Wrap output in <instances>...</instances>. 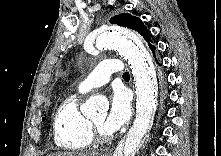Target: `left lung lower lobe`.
<instances>
[{
	"mask_svg": "<svg viewBox=\"0 0 221 156\" xmlns=\"http://www.w3.org/2000/svg\"><path fill=\"white\" fill-rule=\"evenodd\" d=\"M155 61H156V63H157L159 66L161 65V63H160V60H159V59H156ZM160 82H161V84H162V85H164V84H165V77H164V75H163V74L161 75Z\"/></svg>",
	"mask_w": 221,
	"mask_h": 156,
	"instance_id": "1",
	"label": "left lung lower lobe"
}]
</instances>
